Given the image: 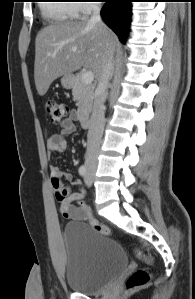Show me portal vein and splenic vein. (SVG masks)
Instances as JSON below:
<instances>
[{"mask_svg":"<svg viewBox=\"0 0 195 299\" xmlns=\"http://www.w3.org/2000/svg\"><path fill=\"white\" fill-rule=\"evenodd\" d=\"M72 51L75 52L76 49L74 48ZM93 80H94V74L92 71H86L82 74V81L84 83L89 84V83H92Z\"/></svg>","mask_w":195,"mask_h":299,"instance_id":"obj_1","label":"portal vein and splenic vein"}]
</instances>
